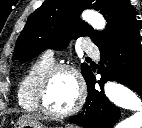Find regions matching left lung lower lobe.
I'll list each match as a JSON object with an SVG mask.
<instances>
[{"label":"left lung lower lobe","mask_w":142,"mask_h":128,"mask_svg":"<svg viewBox=\"0 0 142 128\" xmlns=\"http://www.w3.org/2000/svg\"><path fill=\"white\" fill-rule=\"evenodd\" d=\"M101 61L98 81L101 91L95 89L91 71L86 80L88 99L82 113L69 122L83 128H113L120 118V110L104 95L103 83L111 80L132 88L142 96V45L137 22L127 31L99 47Z\"/></svg>","instance_id":"obj_1"}]
</instances>
